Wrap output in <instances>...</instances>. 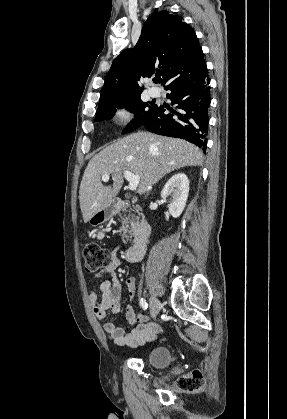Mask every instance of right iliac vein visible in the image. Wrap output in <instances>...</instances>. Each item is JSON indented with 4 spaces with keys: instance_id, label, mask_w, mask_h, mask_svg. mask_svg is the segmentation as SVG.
I'll return each mask as SVG.
<instances>
[{
    "instance_id": "1",
    "label": "right iliac vein",
    "mask_w": 287,
    "mask_h": 419,
    "mask_svg": "<svg viewBox=\"0 0 287 419\" xmlns=\"http://www.w3.org/2000/svg\"><path fill=\"white\" fill-rule=\"evenodd\" d=\"M160 302L155 296H150V314L151 317L154 319L158 315L160 311Z\"/></svg>"
}]
</instances>
